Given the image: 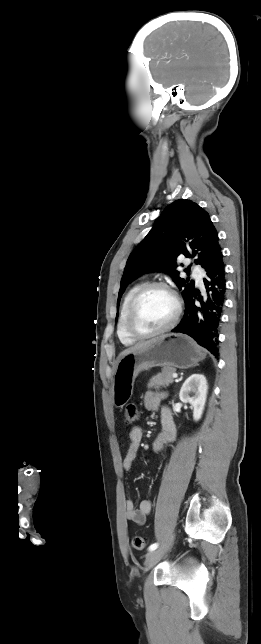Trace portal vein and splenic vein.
I'll list each match as a JSON object with an SVG mask.
<instances>
[{
  "label": "portal vein and splenic vein",
  "mask_w": 261,
  "mask_h": 644,
  "mask_svg": "<svg viewBox=\"0 0 261 644\" xmlns=\"http://www.w3.org/2000/svg\"><path fill=\"white\" fill-rule=\"evenodd\" d=\"M172 376H173V378H177V377H178L177 373H174Z\"/></svg>",
  "instance_id": "1"
}]
</instances>
